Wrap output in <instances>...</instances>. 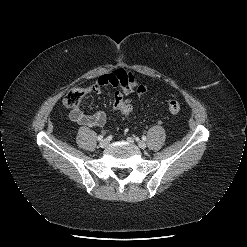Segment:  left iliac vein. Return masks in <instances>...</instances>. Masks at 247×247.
Segmentation results:
<instances>
[{"label":"left iliac vein","instance_id":"1","mask_svg":"<svg viewBox=\"0 0 247 247\" xmlns=\"http://www.w3.org/2000/svg\"><path fill=\"white\" fill-rule=\"evenodd\" d=\"M128 141H131L130 138L127 139ZM138 146L141 148V149H145L146 148V143L143 142V141H138L137 142Z\"/></svg>","mask_w":247,"mask_h":247}]
</instances>
